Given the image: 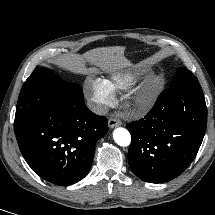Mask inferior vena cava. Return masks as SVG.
<instances>
[{"instance_id": "602c4592", "label": "inferior vena cava", "mask_w": 215, "mask_h": 215, "mask_svg": "<svg viewBox=\"0 0 215 215\" xmlns=\"http://www.w3.org/2000/svg\"><path fill=\"white\" fill-rule=\"evenodd\" d=\"M88 107L96 114L106 115L108 112V108L105 105L96 104L93 102H88Z\"/></svg>"}]
</instances>
